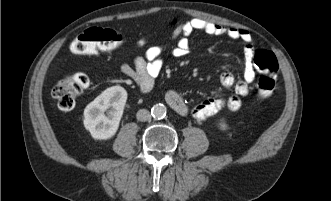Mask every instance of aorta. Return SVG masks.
<instances>
[{
	"mask_svg": "<svg viewBox=\"0 0 331 201\" xmlns=\"http://www.w3.org/2000/svg\"><path fill=\"white\" fill-rule=\"evenodd\" d=\"M167 113V109L163 104H156L151 109V114L155 119H163L165 118Z\"/></svg>",
	"mask_w": 331,
	"mask_h": 201,
	"instance_id": "obj_1",
	"label": "aorta"
}]
</instances>
